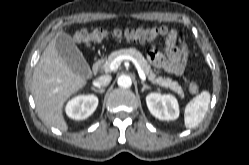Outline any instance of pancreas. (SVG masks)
Segmentation results:
<instances>
[{
	"mask_svg": "<svg viewBox=\"0 0 249 165\" xmlns=\"http://www.w3.org/2000/svg\"><path fill=\"white\" fill-rule=\"evenodd\" d=\"M118 56H131L137 62L140 63L144 73L147 75L148 79L153 83L157 84L164 88H169L176 92L181 98H184V92L182 87L178 84V82L173 81L171 78L165 77H156V74L153 72L151 66L144 58V56L135 48H128V49H120L117 51L112 52L108 58L105 60L103 64V69L108 71V67L110 63Z\"/></svg>",
	"mask_w": 249,
	"mask_h": 165,
	"instance_id": "pancreas-1",
	"label": "pancreas"
}]
</instances>
